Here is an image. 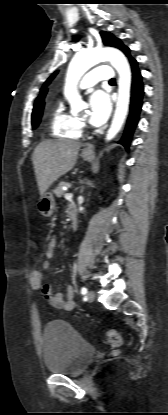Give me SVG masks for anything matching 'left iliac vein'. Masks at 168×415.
<instances>
[{
	"instance_id": "left-iliac-vein-1",
	"label": "left iliac vein",
	"mask_w": 168,
	"mask_h": 415,
	"mask_svg": "<svg viewBox=\"0 0 168 415\" xmlns=\"http://www.w3.org/2000/svg\"><path fill=\"white\" fill-rule=\"evenodd\" d=\"M87 299L90 302H93L95 300V292L93 290H90L87 294Z\"/></svg>"
}]
</instances>
